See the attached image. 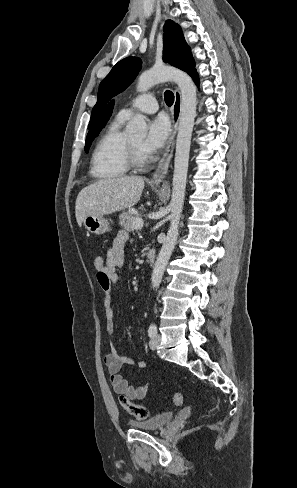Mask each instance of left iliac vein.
<instances>
[{"mask_svg": "<svg viewBox=\"0 0 297 488\" xmlns=\"http://www.w3.org/2000/svg\"><path fill=\"white\" fill-rule=\"evenodd\" d=\"M160 341H161V336L160 334H156L151 340H150V348L152 350H156L160 344Z\"/></svg>", "mask_w": 297, "mask_h": 488, "instance_id": "1", "label": "left iliac vein"}]
</instances>
